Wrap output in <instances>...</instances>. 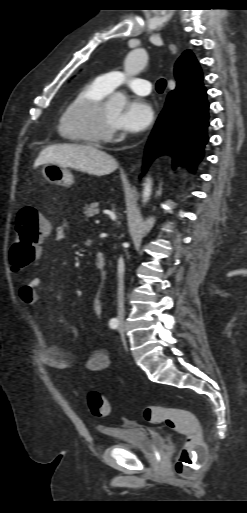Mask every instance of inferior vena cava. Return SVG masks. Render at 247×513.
<instances>
[{
	"label": "inferior vena cava",
	"instance_id": "obj_1",
	"mask_svg": "<svg viewBox=\"0 0 247 513\" xmlns=\"http://www.w3.org/2000/svg\"><path fill=\"white\" fill-rule=\"evenodd\" d=\"M124 262L121 257L118 260V291H117V299H118V318L123 319L124 317Z\"/></svg>",
	"mask_w": 247,
	"mask_h": 513
}]
</instances>
